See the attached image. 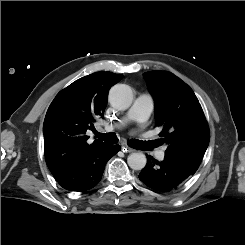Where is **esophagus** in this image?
Returning <instances> with one entry per match:
<instances>
[{
    "label": "esophagus",
    "instance_id": "obj_1",
    "mask_svg": "<svg viewBox=\"0 0 245 245\" xmlns=\"http://www.w3.org/2000/svg\"><path fill=\"white\" fill-rule=\"evenodd\" d=\"M122 151L123 152H126V153H131V152H133L134 150L132 149V148H130V147H128V146H122Z\"/></svg>",
    "mask_w": 245,
    "mask_h": 245
}]
</instances>
